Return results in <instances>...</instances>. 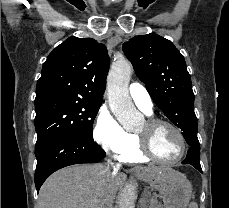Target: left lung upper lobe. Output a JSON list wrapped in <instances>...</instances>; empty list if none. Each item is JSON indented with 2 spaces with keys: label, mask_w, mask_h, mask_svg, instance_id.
Instances as JSON below:
<instances>
[{
  "label": "left lung upper lobe",
  "mask_w": 229,
  "mask_h": 208,
  "mask_svg": "<svg viewBox=\"0 0 229 208\" xmlns=\"http://www.w3.org/2000/svg\"><path fill=\"white\" fill-rule=\"evenodd\" d=\"M156 105L182 133L198 131L194 93L184 57L155 33L136 36L122 46Z\"/></svg>",
  "instance_id": "1"
}]
</instances>
